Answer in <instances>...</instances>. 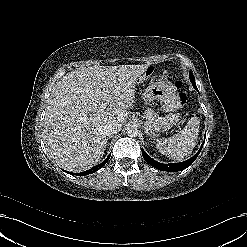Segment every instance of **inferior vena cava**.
<instances>
[{"instance_id":"1","label":"inferior vena cava","mask_w":247,"mask_h":247,"mask_svg":"<svg viewBox=\"0 0 247 247\" xmlns=\"http://www.w3.org/2000/svg\"><path fill=\"white\" fill-rule=\"evenodd\" d=\"M122 128V124L119 122H110L107 123L104 127L105 135L108 137H112L114 134L119 132Z\"/></svg>"}]
</instances>
